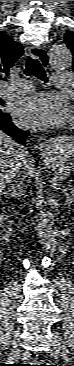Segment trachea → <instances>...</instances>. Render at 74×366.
Masks as SVG:
<instances>
[{"mask_svg":"<svg viewBox=\"0 0 74 366\" xmlns=\"http://www.w3.org/2000/svg\"><path fill=\"white\" fill-rule=\"evenodd\" d=\"M24 74L26 76L34 75L41 81L48 82V78L46 76L44 68L41 66L40 62L37 59L31 56L27 57Z\"/></svg>","mask_w":74,"mask_h":366,"instance_id":"trachea-1","label":"trachea"}]
</instances>
